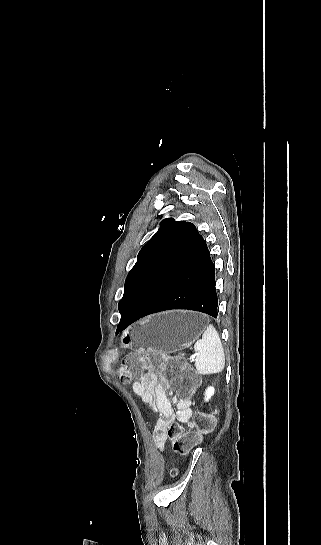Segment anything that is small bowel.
Listing matches in <instances>:
<instances>
[{
	"instance_id": "c3829d8e",
	"label": "small bowel",
	"mask_w": 321,
	"mask_h": 545,
	"mask_svg": "<svg viewBox=\"0 0 321 545\" xmlns=\"http://www.w3.org/2000/svg\"><path fill=\"white\" fill-rule=\"evenodd\" d=\"M133 390L153 412L159 415L154 425L153 439L156 446L163 450L168 425L173 421L187 423L190 419L191 400L177 395L170 399L168 383L164 377L144 375L133 383ZM172 404L176 406V410Z\"/></svg>"
}]
</instances>
